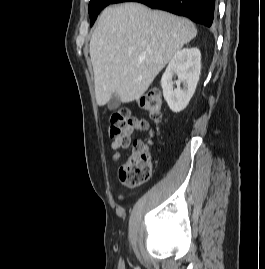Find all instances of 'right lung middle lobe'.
<instances>
[{"mask_svg":"<svg viewBox=\"0 0 265 269\" xmlns=\"http://www.w3.org/2000/svg\"><path fill=\"white\" fill-rule=\"evenodd\" d=\"M114 0H91L89 3V16L91 26L95 22L100 11L107 5L111 4Z\"/></svg>","mask_w":265,"mask_h":269,"instance_id":"dd1d6c3e","label":"right lung middle lobe"}]
</instances>
